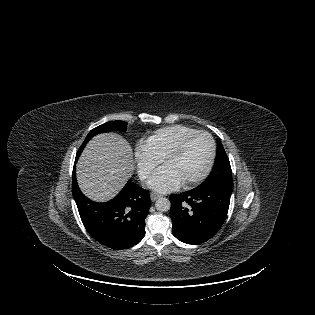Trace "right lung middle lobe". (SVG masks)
<instances>
[{"instance_id":"dd1d6c3e","label":"right lung middle lobe","mask_w":315,"mask_h":315,"mask_svg":"<svg viewBox=\"0 0 315 315\" xmlns=\"http://www.w3.org/2000/svg\"><path fill=\"white\" fill-rule=\"evenodd\" d=\"M126 126L127 123L124 121H110L107 123H104L96 128H94L93 130H91L89 132V134L87 135V137L85 138L83 144L81 145L78 153H77V158L79 157V155L81 154L82 150L84 149L85 145L87 144V142L95 135L99 134V133H103V132H109V131H113V130H121V131H125L126 130Z\"/></svg>"}]
</instances>
